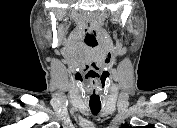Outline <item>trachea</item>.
<instances>
[{
  "label": "trachea",
  "mask_w": 177,
  "mask_h": 128,
  "mask_svg": "<svg viewBox=\"0 0 177 128\" xmlns=\"http://www.w3.org/2000/svg\"><path fill=\"white\" fill-rule=\"evenodd\" d=\"M90 109L94 115H97L101 110V106H90Z\"/></svg>",
  "instance_id": "3493384b"
}]
</instances>
